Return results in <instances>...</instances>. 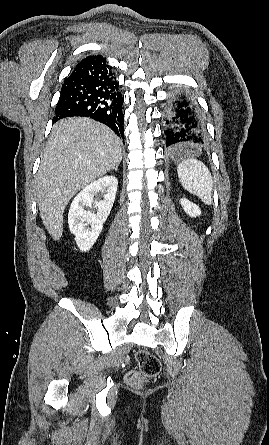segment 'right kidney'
<instances>
[{
    "instance_id": "1",
    "label": "right kidney",
    "mask_w": 269,
    "mask_h": 445,
    "mask_svg": "<svg viewBox=\"0 0 269 445\" xmlns=\"http://www.w3.org/2000/svg\"><path fill=\"white\" fill-rule=\"evenodd\" d=\"M118 180L115 176H105L88 184L74 198L68 213V224L78 247L83 251H88L96 242L103 228V223L108 218L112 209ZM103 192L104 199L94 200V195ZM95 206L96 214H91L84 208ZM90 228H86V225Z\"/></svg>"
}]
</instances>
